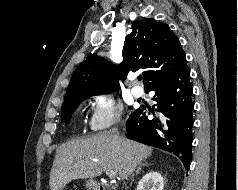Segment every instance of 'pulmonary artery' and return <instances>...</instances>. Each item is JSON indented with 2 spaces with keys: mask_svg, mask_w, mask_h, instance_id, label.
I'll list each match as a JSON object with an SVG mask.
<instances>
[{
  "mask_svg": "<svg viewBox=\"0 0 238 190\" xmlns=\"http://www.w3.org/2000/svg\"><path fill=\"white\" fill-rule=\"evenodd\" d=\"M131 93L136 98L142 97L144 95L143 89L141 87H139V86H134L131 89Z\"/></svg>",
  "mask_w": 238,
  "mask_h": 190,
  "instance_id": "e3ab8cb5",
  "label": "pulmonary artery"
}]
</instances>
